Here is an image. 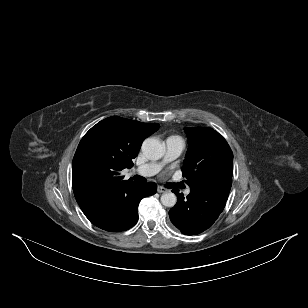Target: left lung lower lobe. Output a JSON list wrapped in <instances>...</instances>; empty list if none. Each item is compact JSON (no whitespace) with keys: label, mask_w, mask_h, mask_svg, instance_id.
Returning <instances> with one entry per match:
<instances>
[{"label":"left lung lower lobe","mask_w":308,"mask_h":308,"mask_svg":"<svg viewBox=\"0 0 308 308\" xmlns=\"http://www.w3.org/2000/svg\"><path fill=\"white\" fill-rule=\"evenodd\" d=\"M231 185L232 177L210 180L190 188L186 198L178 190H173L178 201L169 211L171 222L186 235L205 231L223 211Z\"/></svg>","instance_id":"1"}]
</instances>
